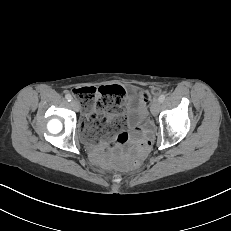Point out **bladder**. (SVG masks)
I'll return each instance as SVG.
<instances>
[{
    "label": "bladder",
    "mask_w": 231,
    "mask_h": 231,
    "mask_svg": "<svg viewBox=\"0 0 231 231\" xmlns=\"http://www.w3.org/2000/svg\"><path fill=\"white\" fill-rule=\"evenodd\" d=\"M127 111L137 119L144 121L148 117L147 103L144 93L139 86L130 87L125 96ZM77 136L84 144L94 143L98 139L96 130L92 125L84 123L77 128Z\"/></svg>",
    "instance_id": "31cf9c89"
}]
</instances>
